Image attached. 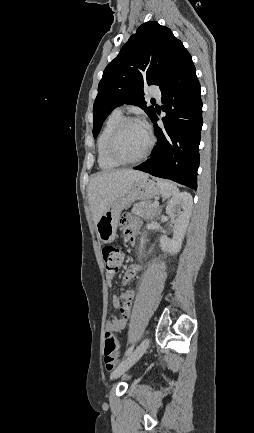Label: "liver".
Listing matches in <instances>:
<instances>
[{
	"mask_svg": "<svg viewBox=\"0 0 254 433\" xmlns=\"http://www.w3.org/2000/svg\"><path fill=\"white\" fill-rule=\"evenodd\" d=\"M147 177L141 171L120 169L104 171L94 175L88 186V200L94 223L119 197L124 196L140 178Z\"/></svg>",
	"mask_w": 254,
	"mask_h": 433,
	"instance_id": "6515ba94",
	"label": "liver"
}]
</instances>
